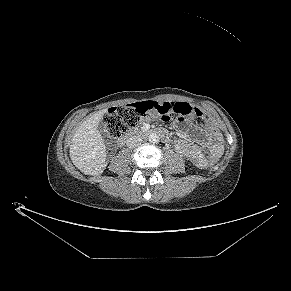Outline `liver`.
I'll use <instances>...</instances> for the list:
<instances>
[{
	"label": "liver",
	"instance_id": "liver-1",
	"mask_svg": "<svg viewBox=\"0 0 291 291\" xmlns=\"http://www.w3.org/2000/svg\"><path fill=\"white\" fill-rule=\"evenodd\" d=\"M107 109L100 110L86 119L76 130L71 140L70 158L84 174L97 176L106 167V148L98 131V125Z\"/></svg>",
	"mask_w": 291,
	"mask_h": 291
}]
</instances>
